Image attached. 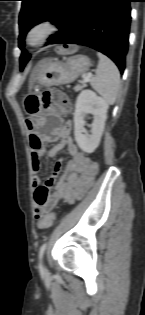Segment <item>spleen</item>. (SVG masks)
I'll return each instance as SVG.
<instances>
[{"instance_id": "obj_1", "label": "spleen", "mask_w": 145, "mask_h": 315, "mask_svg": "<svg viewBox=\"0 0 145 315\" xmlns=\"http://www.w3.org/2000/svg\"><path fill=\"white\" fill-rule=\"evenodd\" d=\"M99 63L96 76L90 80L91 87L108 103L116 101L120 89V73L117 66L102 53H97Z\"/></svg>"}]
</instances>
